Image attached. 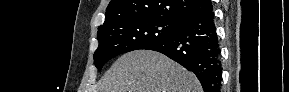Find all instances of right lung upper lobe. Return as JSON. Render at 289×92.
Listing matches in <instances>:
<instances>
[{"label":"right lung upper lobe","mask_w":289,"mask_h":92,"mask_svg":"<svg viewBox=\"0 0 289 92\" xmlns=\"http://www.w3.org/2000/svg\"><path fill=\"white\" fill-rule=\"evenodd\" d=\"M212 9L210 0H111L104 24L98 30L120 21L158 17L169 21L182 20Z\"/></svg>","instance_id":"obj_1"}]
</instances>
